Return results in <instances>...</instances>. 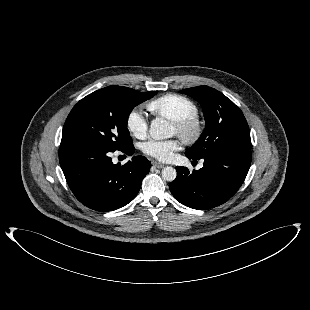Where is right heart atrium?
Wrapping results in <instances>:
<instances>
[{
  "label": "right heart atrium",
  "instance_id": "obj_1",
  "mask_svg": "<svg viewBox=\"0 0 310 310\" xmlns=\"http://www.w3.org/2000/svg\"><path fill=\"white\" fill-rule=\"evenodd\" d=\"M126 126L136 138L143 139L148 134V121L139 109H133L129 113Z\"/></svg>",
  "mask_w": 310,
  "mask_h": 310
}]
</instances>
